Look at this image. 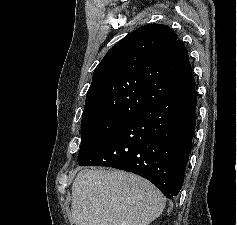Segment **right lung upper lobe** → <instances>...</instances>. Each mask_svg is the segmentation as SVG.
I'll list each match as a JSON object with an SVG mask.
<instances>
[{"mask_svg": "<svg viewBox=\"0 0 237 225\" xmlns=\"http://www.w3.org/2000/svg\"><path fill=\"white\" fill-rule=\"evenodd\" d=\"M195 86L188 52L165 25L133 31L104 56L86 95L82 119L133 117Z\"/></svg>", "mask_w": 237, "mask_h": 225, "instance_id": "obj_1", "label": "right lung upper lobe"}]
</instances>
